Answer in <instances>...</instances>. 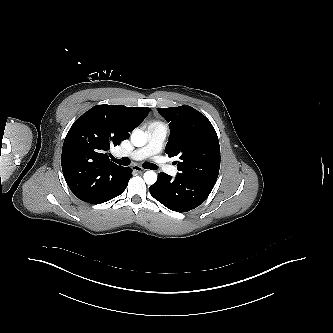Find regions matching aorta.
<instances>
[{"label": "aorta", "mask_w": 333, "mask_h": 333, "mask_svg": "<svg viewBox=\"0 0 333 333\" xmlns=\"http://www.w3.org/2000/svg\"><path fill=\"white\" fill-rule=\"evenodd\" d=\"M131 142L136 147H142L147 143V135L139 129H135L131 135ZM144 181L148 185H152L157 181V174L154 171L144 173Z\"/></svg>", "instance_id": "obj_1"}]
</instances>
